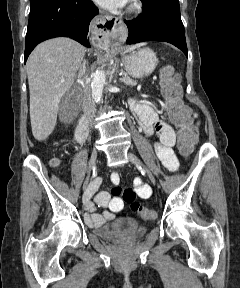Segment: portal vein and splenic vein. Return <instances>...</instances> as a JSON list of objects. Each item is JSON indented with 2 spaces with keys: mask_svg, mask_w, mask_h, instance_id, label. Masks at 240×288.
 Instances as JSON below:
<instances>
[{
  "mask_svg": "<svg viewBox=\"0 0 240 288\" xmlns=\"http://www.w3.org/2000/svg\"><path fill=\"white\" fill-rule=\"evenodd\" d=\"M119 75H126V74H122V73H120Z\"/></svg>",
  "mask_w": 240,
  "mask_h": 288,
  "instance_id": "portal-vein-and-splenic-vein-1",
  "label": "portal vein and splenic vein"
}]
</instances>
